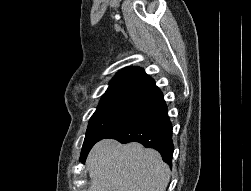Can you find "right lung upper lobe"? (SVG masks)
<instances>
[{
  "label": "right lung upper lobe",
  "mask_w": 251,
  "mask_h": 191,
  "mask_svg": "<svg viewBox=\"0 0 251 191\" xmlns=\"http://www.w3.org/2000/svg\"><path fill=\"white\" fill-rule=\"evenodd\" d=\"M162 96L154 80L142 68L129 67L115 75L98 107L119 105L144 110Z\"/></svg>",
  "instance_id": "1"
}]
</instances>
